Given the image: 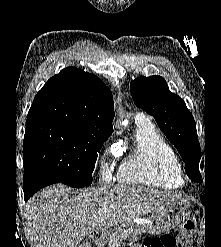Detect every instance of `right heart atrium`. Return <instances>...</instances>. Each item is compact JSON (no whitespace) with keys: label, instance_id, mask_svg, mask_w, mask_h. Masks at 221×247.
Wrapping results in <instances>:
<instances>
[{"label":"right heart atrium","instance_id":"d8ad5b80","mask_svg":"<svg viewBox=\"0 0 221 247\" xmlns=\"http://www.w3.org/2000/svg\"><path fill=\"white\" fill-rule=\"evenodd\" d=\"M100 173L103 179L108 180L110 178V169L105 159L101 161Z\"/></svg>","mask_w":221,"mask_h":247}]
</instances>
